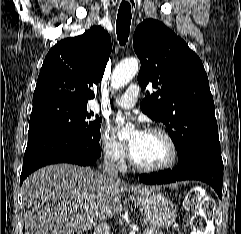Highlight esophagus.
<instances>
[{"instance_id": "1", "label": "esophagus", "mask_w": 241, "mask_h": 234, "mask_svg": "<svg viewBox=\"0 0 241 234\" xmlns=\"http://www.w3.org/2000/svg\"><path fill=\"white\" fill-rule=\"evenodd\" d=\"M125 1H127L130 4L131 9L133 11H135V9H136V0H125Z\"/></svg>"}]
</instances>
